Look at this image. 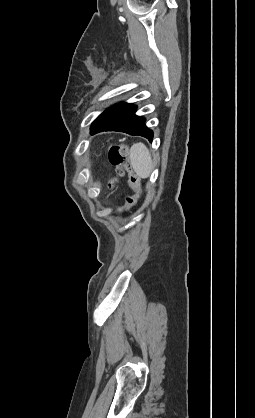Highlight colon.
I'll return each mask as SVG.
<instances>
[{"instance_id":"1","label":"colon","mask_w":255,"mask_h":418,"mask_svg":"<svg viewBox=\"0 0 255 418\" xmlns=\"http://www.w3.org/2000/svg\"><path fill=\"white\" fill-rule=\"evenodd\" d=\"M108 157L110 163L115 167L118 177H122L127 172H129L127 165V148L125 146H112L109 150ZM115 181L116 179H114L110 183V186L113 185ZM129 182L134 190V195L127 199L128 208L134 206L137 203L142 191L141 183L138 176H136L132 172H129Z\"/></svg>"}]
</instances>
